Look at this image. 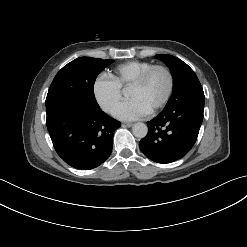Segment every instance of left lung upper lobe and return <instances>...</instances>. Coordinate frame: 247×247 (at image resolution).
Here are the masks:
<instances>
[{"label": "left lung upper lobe", "mask_w": 247, "mask_h": 247, "mask_svg": "<svg viewBox=\"0 0 247 247\" xmlns=\"http://www.w3.org/2000/svg\"><path fill=\"white\" fill-rule=\"evenodd\" d=\"M156 58L167 65L173 76V92L164 109L190 98L204 99V92L196 74L185 62L168 54H159Z\"/></svg>", "instance_id": "left-lung-upper-lobe-1"}]
</instances>
